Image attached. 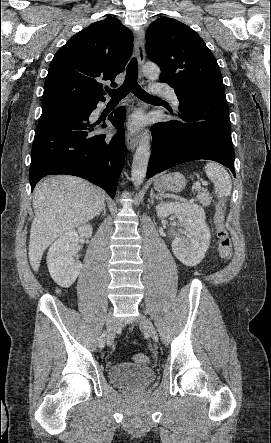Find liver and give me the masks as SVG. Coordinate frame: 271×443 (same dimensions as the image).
Wrapping results in <instances>:
<instances>
[{"instance_id":"1","label":"liver","mask_w":271,"mask_h":443,"mask_svg":"<svg viewBox=\"0 0 271 443\" xmlns=\"http://www.w3.org/2000/svg\"><path fill=\"white\" fill-rule=\"evenodd\" d=\"M106 206L101 190L75 176H53L37 184L33 196L29 261L38 271L42 255L57 237L93 220Z\"/></svg>"}]
</instances>
